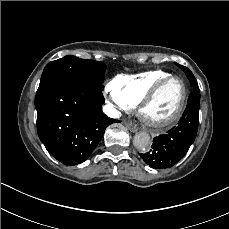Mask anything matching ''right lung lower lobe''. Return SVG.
<instances>
[{
	"label": "right lung lower lobe",
	"instance_id": "98d812e1",
	"mask_svg": "<svg viewBox=\"0 0 229 229\" xmlns=\"http://www.w3.org/2000/svg\"><path fill=\"white\" fill-rule=\"evenodd\" d=\"M102 89L79 80H61L35 98L37 132L47 151L66 165L88 159L105 128L117 120L102 112Z\"/></svg>",
	"mask_w": 229,
	"mask_h": 229
}]
</instances>
